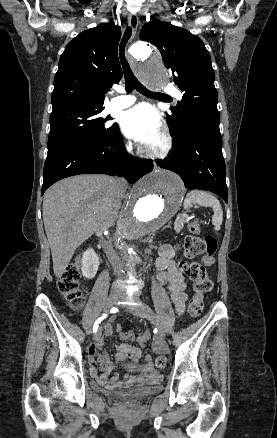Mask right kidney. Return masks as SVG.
<instances>
[{"instance_id":"right-kidney-1","label":"right kidney","mask_w":277,"mask_h":438,"mask_svg":"<svg viewBox=\"0 0 277 438\" xmlns=\"http://www.w3.org/2000/svg\"><path fill=\"white\" fill-rule=\"evenodd\" d=\"M81 272L84 278L92 280L95 278L99 268V258L93 248H88L81 258Z\"/></svg>"}]
</instances>
